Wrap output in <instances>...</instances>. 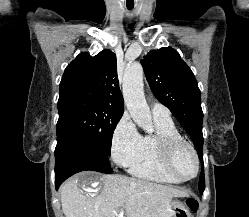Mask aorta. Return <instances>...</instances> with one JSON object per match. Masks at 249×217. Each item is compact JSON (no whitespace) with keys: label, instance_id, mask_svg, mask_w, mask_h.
Segmentation results:
<instances>
[{"label":"aorta","instance_id":"1","mask_svg":"<svg viewBox=\"0 0 249 217\" xmlns=\"http://www.w3.org/2000/svg\"><path fill=\"white\" fill-rule=\"evenodd\" d=\"M123 96L133 121L142 129L150 131L152 118L144 96L143 68L139 63H134L125 70Z\"/></svg>","mask_w":249,"mask_h":217}]
</instances>
